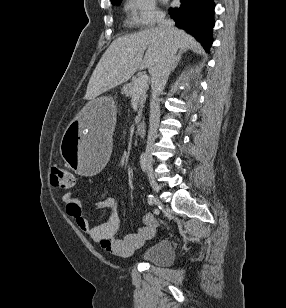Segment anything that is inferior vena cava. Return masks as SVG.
I'll return each mask as SVG.
<instances>
[{
	"label": "inferior vena cava",
	"mask_w": 286,
	"mask_h": 308,
	"mask_svg": "<svg viewBox=\"0 0 286 308\" xmlns=\"http://www.w3.org/2000/svg\"><path fill=\"white\" fill-rule=\"evenodd\" d=\"M159 28L166 32L167 39L165 44L164 52L157 62L153 72H152V98L150 101V126L148 131V138H147V150L149 151L155 142L157 136V129L160 121V108H159V96L162 93L169 73L171 71V67L174 63L176 58V53L178 47L175 43L174 36H175V27L174 22L172 20L165 19L164 16H161L158 19ZM151 156L148 155V159Z\"/></svg>",
	"instance_id": "inferior-vena-cava-1"
}]
</instances>
